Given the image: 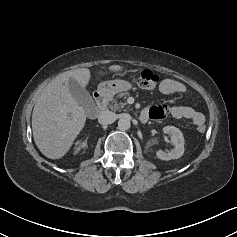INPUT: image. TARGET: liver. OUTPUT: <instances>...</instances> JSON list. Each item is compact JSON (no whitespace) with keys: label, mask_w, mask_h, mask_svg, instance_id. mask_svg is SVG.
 I'll list each match as a JSON object with an SVG mask.
<instances>
[{"label":"liver","mask_w":237,"mask_h":237,"mask_svg":"<svg viewBox=\"0 0 237 237\" xmlns=\"http://www.w3.org/2000/svg\"><path fill=\"white\" fill-rule=\"evenodd\" d=\"M108 69L117 72L122 71L124 67L112 65ZM98 74L105 75L102 71ZM71 78L85 87L90 80V71L88 68H79L57 75L38 97L33 109L34 142L40 152L49 159L63 157L86 122V111L69 91L68 82Z\"/></svg>","instance_id":"1"}]
</instances>
